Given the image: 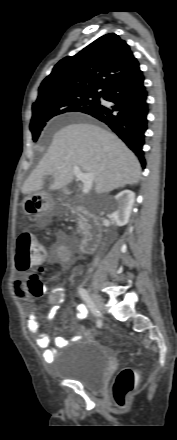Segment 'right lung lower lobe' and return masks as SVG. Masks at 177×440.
Instances as JSON below:
<instances>
[{"label": "right lung lower lobe", "instance_id": "right-lung-lower-lobe-1", "mask_svg": "<svg viewBox=\"0 0 177 440\" xmlns=\"http://www.w3.org/2000/svg\"><path fill=\"white\" fill-rule=\"evenodd\" d=\"M103 99L114 105L101 104L86 113L106 123L136 154L142 167H145V131L147 130V91L144 76L138 68L129 76L117 82L102 95Z\"/></svg>", "mask_w": 177, "mask_h": 440}]
</instances>
